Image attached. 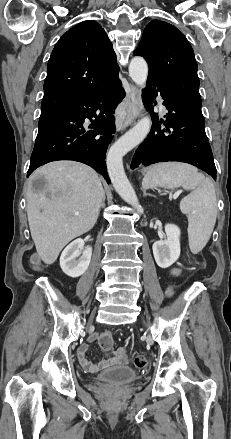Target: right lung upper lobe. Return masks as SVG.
I'll list each match as a JSON object with an SVG mask.
<instances>
[{
    "label": "right lung upper lobe",
    "instance_id": "obj_1",
    "mask_svg": "<svg viewBox=\"0 0 231 439\" xmlns=\"http://www.w3.org/2000/svg\"><path fill=\"white\" fill-rule=\"evenodd\" d=\"M119 66L107 33L92 20L62 35L47 65L40 118L106 89Z\"/></svg>",
    "mask_w": 231,
    "mask_h": 439
}]
</instances>
